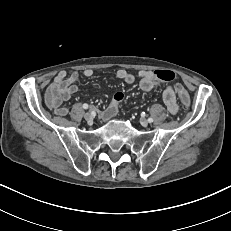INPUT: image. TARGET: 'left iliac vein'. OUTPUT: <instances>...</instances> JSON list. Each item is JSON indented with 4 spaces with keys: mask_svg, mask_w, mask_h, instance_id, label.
<instances>
[{
    "mask_svg": "<svg viewBox=\"0 0 231 231\" xmlns=\"http://www.w3.org/2000/svg\"><path fill=\"white\" fill-rule=\"evenodd\" d=\"M140 123H141V125H142L143 127L148 126V120L145 119V118H141Z\"/></svg>",
    "mask_w": 231,
    "mask_h": 231,
    "instance_id": "4c4485c4",
    "label": "left iliac vein"
}]
</instances>
